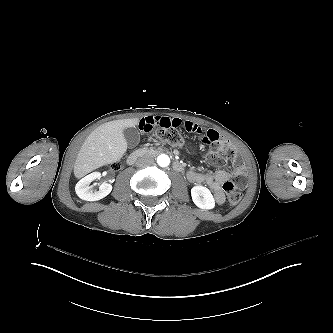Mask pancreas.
I'll list each match as a JSON object with an SVG mask.
<instances>
[{"mask_svg": "<svg viewBox=\"0 0 333 333\" xmlns=\"http://www.w3.org/2000/svg\"><path fill=\"white\" fill-rule=\"evenodd\" d=\"M162 148H159V150H156L154 148H151L149 151H148V154H151V155H155V154H159L162 152Z\"/></svg>", "mask_w": 333, "mask_h": 333, "instance_id": "cf45deb5", "label": "pancreas"}]
</instances>
